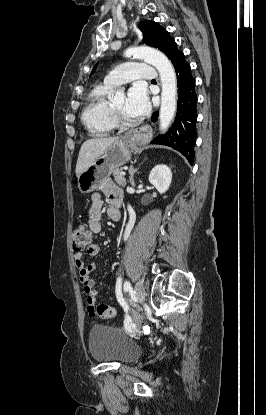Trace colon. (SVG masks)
<instances>
[{
  "instance_id": "obj_1",
  "label": "colon",
  "mask_w": 266,
  "mask_h": 415,
  "mask_svg": "<svg viewBox=\"0 0 266 415\" xmlns=\"http://www.w3.org/2000/svg\"><path fill=\"white\" fill-rule=\"evenodd\" d=\"M92 240V232L85 226H78L73 231L72 247L74 251H82ZM91 316L110 319L115 316V309L107 304H99L91 311Z\"/></svg>"
}]
</instances>
